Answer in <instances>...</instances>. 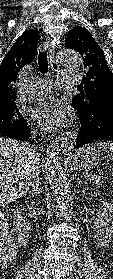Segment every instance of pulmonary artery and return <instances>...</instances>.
<instances>
[{
    "instance_id": "1",
    "label": "pulmonary artery",
    "mask_w": 113,
    "mask_h": 279,
    "mask_svg": "<svg viewBox=\"0 0 113 279\" xmlns=\"http://www.w3.org/2000/svg\"><path fill=\"white\" fill-rule=\"evenodd\" d=\"M61 78L63 81L71 85H76L80 82V78L77 75H75V73L72 72L61 74ZM51 87H52V83L50 80L37 79L29 87L28 93L41 94L50 90Z\"/></svg>"
}]
</instances>
